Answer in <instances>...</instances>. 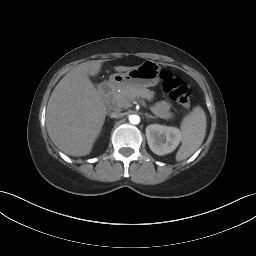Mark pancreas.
<instances>
[{"label":"pancreas","mask_w":256,"mask_h":256,"mask_svg":"<svg viewBox=\"0 0 256 256\" xmlns=\"http://www.w3.org/2000/svg\"><path fill=\"white\" fill-rule=\"evenodd\" d=\"M155 93L149 89L141 87H127L114 92L112 102L117 108H128L135 99L152 101Z\"/></svg>","instance_id":"1"}]
</instances>
